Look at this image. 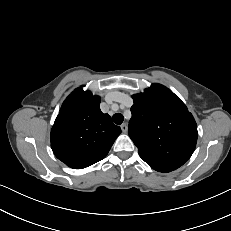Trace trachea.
I'll list each match as a JSON object with an SVG mask.
<instances>
[{
  "instance_id": "1",
  "label": "trachea",
  "mask_w": 231,
  "mask_h": 231,
  "mask_svg": "<svg viewBox=\"0 0 231 231\" xmlns=\"http://www.w3.org/2000/svg\"><path fill=\"white\" fill-rule=\"evenodd\" d=\"M112 119H113L115 124L121 125L123 120H124V117L121 113H116L113 115Z\"/></svg>"
}]
</instances>
